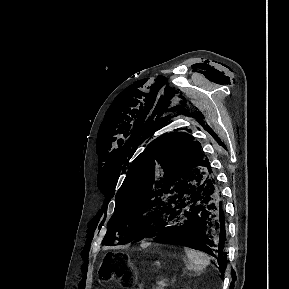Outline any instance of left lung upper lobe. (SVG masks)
<instances>
[{"mask_svg":"<svg viewBox=\"0 0 289 289\" xmlns=\"http://www.w3.org/2000/svg\"><path fill=\"white\" fill-rule=\"evenodd\" d=\"M210 171L201 144L185 132L165 134L151 142L134 160L116 194L103 244L122 245L155 231L180 189Z\"/></svg>","mask_w":289,"mask_h":289,"instance_id":"5c2ea615","label":"left lung upper lobe"}]
</instances>
